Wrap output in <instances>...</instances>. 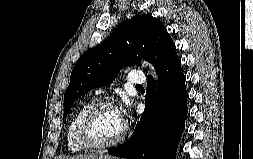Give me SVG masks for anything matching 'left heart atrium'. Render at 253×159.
Returning <instances> with one entry per match:
<instances>
[{
  "label": "left heart atrium",
  "instance_id": "obj_1",
  "mask_svg": "<svg viewBox=\"0 0 253 159\" xmlns=\"http://www.w3.org/2000/svg\"><path fill=\"white\" fill-rule=\"evenodd\" d=\"M118 112H119V116H120V119L123 123V125H126V120H127V117H128V107L127 106H124L120 109H118Z\"/></svg>",
  "mask_w": 253,
  "mask_h": 159
}]
</instances>
